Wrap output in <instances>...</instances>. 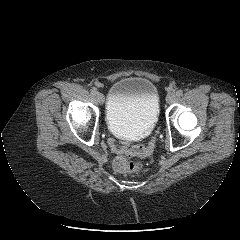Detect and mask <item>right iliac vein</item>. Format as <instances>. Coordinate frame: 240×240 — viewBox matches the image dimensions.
<instances>
[{"label":"right iliac vein","instance_id":"1","mask_svg":"<svg viewBox=\"0 0 240 240\" xmlns=\"http://www.w3.org/2000/svg\"><path fill=\"white\" fill-rule=\"evenodd\" d=\"M96 99H97V102L100 104V105H102L103 103H104V95L102 94V93H97V95H96Z\"/></svg>","mask_w":240,"mask_h":240}]
</instances>
